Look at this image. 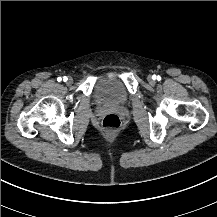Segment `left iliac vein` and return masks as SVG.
I'll return each mask as SVG.
<instances>
[{
  "label": "left iliac vein",
  "mask_w": 217,
  "mask_h": 217,
  "mask_svg": "<svg viewBox=\"0 0 217 217\" xmlns=\"http://www.w3.org/2000/svg\"><path fill=\"white\" fill-rule=\"evenodd\" d=\"M148 80H149V83H150L151 85H154V84H155V79H154L153 77H149Z\"/></svg>",
  "instance_id": "1"
}]
</instances>
